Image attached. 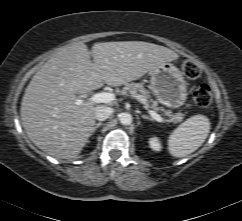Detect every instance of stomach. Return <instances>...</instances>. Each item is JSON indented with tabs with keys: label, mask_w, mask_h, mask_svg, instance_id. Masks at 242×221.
I'll use <instances>...</instances> for the list:
<instances>
[{
	"label": "stomach",
	"mask_w": 242,
	"mask_h": 221,
	"mask_svg": "<svg viewBox=\"0 0 242 221\" xmlns=\"http://www.w3.org/2000/svg\"><path fill=\"white\" fill-rule=\"evenodd\" d=\"M149 73L151 91L161 104L170 108H178L185 103L187 83L176 66L166 62Z\"/></svg>",
	"instance_id": "obj_1"
}]
</instances>
